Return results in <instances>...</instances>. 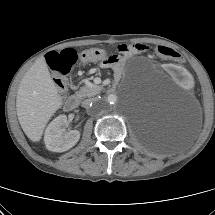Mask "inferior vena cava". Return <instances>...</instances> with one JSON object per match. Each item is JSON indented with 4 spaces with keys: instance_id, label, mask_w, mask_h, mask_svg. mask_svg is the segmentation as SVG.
<instances>
[{
    "instance_id": "602c4592",
    "label": "inferior vena cava",
    "mask_w": 215,
    "mask_h": 215,
    "mask_svg": "<svg viewBox=\"0 0 215 215\" xmlns=\"http://www.w3.org/2000/svg\"><path fill=\"white\" fill-rule=\"evenodd\" d=\"M99 104V100L97 98H92V99H86L82 102L83 107H88L90 104Z\"/></svg>"
}]
</instances>
